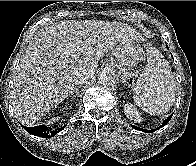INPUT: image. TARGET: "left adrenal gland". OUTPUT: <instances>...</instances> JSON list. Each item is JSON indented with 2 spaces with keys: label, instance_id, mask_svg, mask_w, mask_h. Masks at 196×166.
<instances>
[{
  "label": "left adrenal gland",
  "instance_id": "a2214340",
  "mask_svg": "<svg viewBox=\"0 0 196 166\" xmlns=\"http://www.w3.org/2000/svg\"><path fill=\"white\" fill-rule=\"evenodd\" d=\"M121 81L122 83H127L128 86H130L129 82L126 80V78L123 75L121 76Z\"/></svg>",
  "mask_w": 196,
  "mask_h": 166
}]
</instances>
